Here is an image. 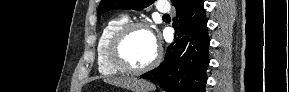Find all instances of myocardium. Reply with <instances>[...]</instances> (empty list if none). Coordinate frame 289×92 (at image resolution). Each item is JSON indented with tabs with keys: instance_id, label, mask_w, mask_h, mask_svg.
Masks as SVG:
<instances>
[{
	"instance_id": "1",
	"label": "myocardium",
	"mask_w": 289,
	"mask_h": 92,
	"mask_svg": "<svg viewBox=\"0 0 289 92\" xmlns=\"http://www.w3.org/2000/svg\"><path fill=\"white\" fill-rule=\"evenodd\" d=\"M136 29H147L149 26L142 21H128L122 25L112 36L109 46H108V57L110 62L114 67L126 73H143L154 68L160 60L161 51L159 47L156 46V53L153 59L146 65L136 67L131 65L123 55V46L130 35V33Z\"/></svg>"
}]
</instances>
